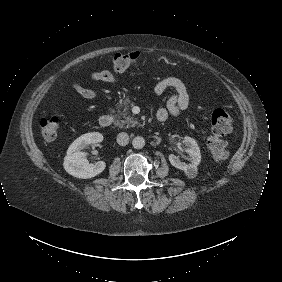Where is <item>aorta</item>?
<instances>
[{
    "instance_id": "1",
    "label": "aorta",
    "mask_w": 282,
    "mask_h": 282,
    "mask_svg": "<svg viewBox=\"0 0 282 282\" xmlns=\"http://www.w3.org/2000/svg\"><path fill=\"white\" fill-rule=\"evenodd\" d=\"M132 146L135 149H142L145 146V139L142 136H136L132 140Z\"/></svg>"
}]
</instances>
